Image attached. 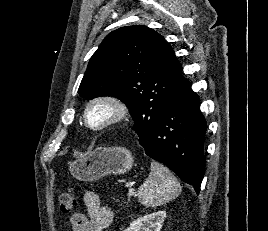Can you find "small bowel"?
<instances>
[{"label": "small bowel", "mask_w": 268, "mask_h": 231, "mask_svg": "<svg viewBox=\"0 0 268 231\" xmlns=\"http://www.w3.org/2000/svg\"><path fill=\"white\" fill-rule=\"evenodd\" d=\"M86 213H76L70 218L71 231H104L113 220V211L101 202L99 196L92 191L83 195Z\"/></svg>", "instance_id": "1"}]
</instances>
